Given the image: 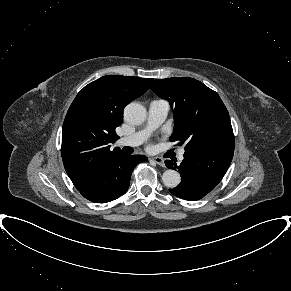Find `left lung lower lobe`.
I'll return each mask as SVG.
<instances>
[{
    "instance_id": "0a47b994",
    "label": "left lung lower lobe",
    "mask_w": 291,
    "mask_h": 291,
    "mask_svg": "<svg viewBox=\"0 0 291 291\" xmlns=\"http://www.w3.org/2000/svg\"><path fill=\"white\" fill-rule=\"evenodd\" d=\"M233 154V149H198L185 151L179 166L166 160L167 168H177L181 175V183L169 191L185 200L203 198L222 180Z\"/></svg>"
}]
</instances>
